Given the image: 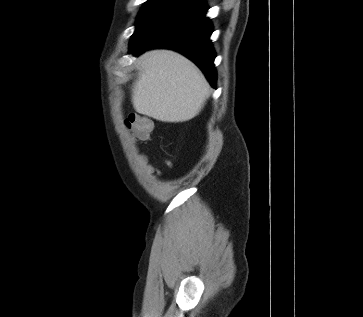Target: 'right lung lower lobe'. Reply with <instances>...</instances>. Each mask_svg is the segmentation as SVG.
Wrapping results in <instances>:
<instances>
[{
	"label": "right lung lower lobe",
	"mask_w": 363,
	"mask_h": 317,
	"mask_svg": "<svg viewBox=\"0 0 363 317\" xmlns=\"http://www.w3.org/2000/svg\"><path fill=\"white\" fill-rule=\"evenodd\" d=\"M207 9L204 0H185L132 41L130 53L140 54L156 47L174 49L195 62L215 87V52L209 40L213 29L205 17Z\"/></svg>",
	"instance_id": "98d812e1"
}]
</instances>
